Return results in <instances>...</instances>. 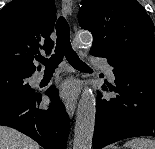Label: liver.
<instances>
[{"label":"liver","instance_id":"liver-1","mask_svg":"<svg viewBox=\"0 0 155 149\" xmlns=\"http://www.w3.org/2000/svg\"><path fill=\"white\" fill-rule=\"evenodd\" d=\"M34 140L19 131L0 126V149H39Z\"/></svg>","mask_w":155,"mask_h":149}]
</instances>
